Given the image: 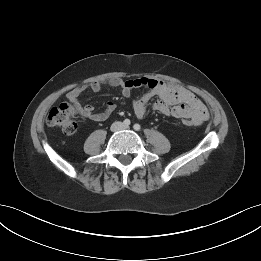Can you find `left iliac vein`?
Returning <instances> with one entry per match:
<instances>
[{"instance_id":"left-iliac-vein-1","label":"left iliac vein","mask_w":261,"mask_h":261,"mask_svg":"<svg viewBox=\"0 0 261 261\" xmlns=\"http://www.w3.org/2000/svg\"><path fill=\"white\" fill-rule=\"evenodd\" d=\"M123 129H129V126H124Z\"/></svg>"}]
</instances>
